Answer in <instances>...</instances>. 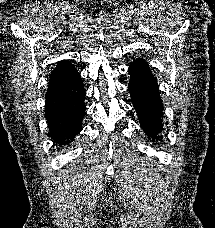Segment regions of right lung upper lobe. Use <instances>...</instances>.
<instances>
[{"label": "right lung upper lobe", "mask_w": 215, "mask_h": 228, "mask_svg": "<svg viewBox=\"0 0 215 228\" xmlns=\"http://www.w3.org/2000/svg\"><path fill=\"white\" fill-rule=\"evenodd\" d=\"M78 71L73 67L72 64L67 60H62L59 62L58 66L53 70L51 77L53 78H72L78 76ZM58 88V85L51 84L48 87L46 97L55 92Z\"/></svg>", "instance_id": "1"}]
</instances>
